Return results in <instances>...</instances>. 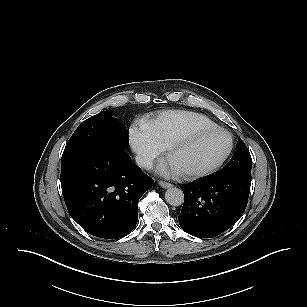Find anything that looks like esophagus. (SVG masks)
Masks as SVG:
<instances>
[{
	"mask_svg": "<svg viewBox=\"0 0 307 307\" xmlns=\"http://www.w3.org/2000/svg\"><path fill=\"white\" fill-rule=\"evenodd\" d=\"M158 183H159V185H160L162 188H170V187L173 186L171 183H168V182H165V181H162V180H160Z\"/></svg>",
	"mask_w": 307,
	"mask_h": 307,
	"instance_id": "esophagus-1",
	"label": "esophagus"
}]
</instances>
